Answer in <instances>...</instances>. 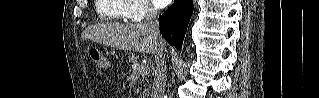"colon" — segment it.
<instances>
[{"label":"colon","instance_id":"obj_1","mask_svg":"<svg viewBox=\"0 0 319 98\" xmlns=\"http://www.w3.org/2000/svg\"><path fill=\"white\" fill-rule=\"evenodd\" d=\"M89 56L93 64L100 68H106L108 63L106 58L101 54V52L96 48H91L89 50Z\"/></svg>","mask_w":319,"mask_h":98}]
</instances>
